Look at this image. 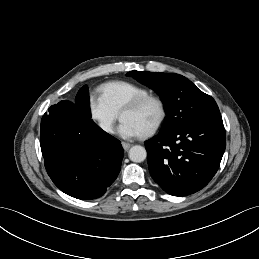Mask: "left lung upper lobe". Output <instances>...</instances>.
I'll use <instances>...</instances> for the list:
<instances>
[{"mask_svg": "<svg viewBox=\"0 0 259 259\" xmlns=\"http://www.w3.org/2000/svg\"><path fill=\"white\" fill-rule=\"evenodd\" d=\"M126 75L152 88L163 100L167 118L161 133L221 118L215 100L182 75L136 70Z\"/></svg>", "mask_w": 259, "mask_h": 259, "instance_id": "1", "label": "left lung upper lobe"}]
</instances>
